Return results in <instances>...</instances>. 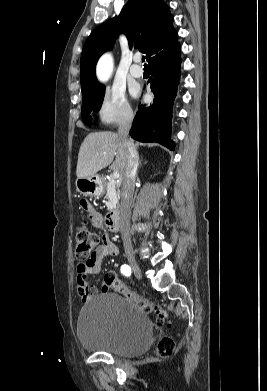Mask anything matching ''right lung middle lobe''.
Instances as JSON below:
<instances>
[{
    "instance_id": "right-lung-middle-lobe-1",
    "label": "right lung middle lobe",
    "mask_w": 267,
    "mask_h": 391,
    "mask_svg": "<svg viewBox=\"0 0 267 391\" xmlns=\"http://www.w3.org/2000/svg\"><path fill=\"white\" fill-rule=\"evenodd\" d=\"M104 94L105 87L101 84L82 93V118L85 124L91 125L92 117L90 116V113L91 111H99L103 102Z\"/></svg>"
}]
</instances>
